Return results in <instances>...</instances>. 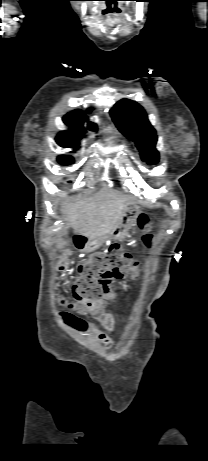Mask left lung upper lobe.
Segmentation results:
<instances>
[{
	"label": "left lung upper lobe",
	"mask_w": 208,
	"mask_h": 461,
	"mask_svg": "<svg viewBox=\"0 0 208 461\" xmlns=\"http://www.w3.org/2000/svg\"><path fill=\"white\" fill-rule=\"evenodd\" d=\"M110 114L118 129L136 143L143 160L151 165L157 164V135L143 107L135 101L122 99L113 106Z\"/></svg>",
	"instance_id": "left-lung-upper-lobe-1"
}]
</instances>
